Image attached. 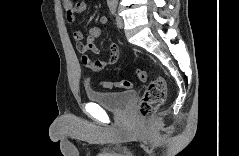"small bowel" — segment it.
Here are the masks:
<instances>
[{
	"label": "small bowel",
	"mask_w": 239,
	"mask_h": 156,
	"mask_svg": "<svg viewBox=\"0 0 239 156\" xmlns=\"http://www.w3.org/2000/svg\"><path fill=\"white\" fill-rule=\"evenodd\" d=\"M63 7L66 12L67 21L70 24H74L76 21V14L81 13L86 8V3L83 1L73 3L70 0L63 1ZM102 24L107 23L106 18H101ZM101 35V29L97 26H93L89 30L86 41H83L84 35L81 30H75L73 32V38L77 43V49L80 53L84 54L82 57L83 64L93 72H99L109 66L114 65L119 58V48L115 43H111L109 47V55L104 59H93L86 55L87 52L98 54L99 50L96 47V39Z\"/></svg>",
	"instance_id": "obj_1"
}]
</instances>
